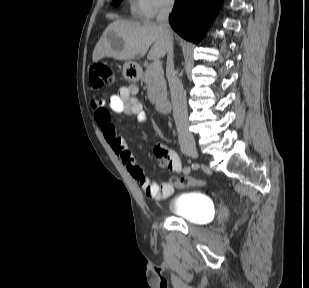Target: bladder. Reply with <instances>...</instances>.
I'll return each mask as SVG.
<instances>
[{
    "mask_svg": "<svg viewBox=\"0 0 309 288\" xmlns=\"http://www.w3.org/2000/svg\"><path fill=\"white\" fill-rule=\"evenodd\" d=\"M167 210L171 215L196 225L207 223L213 213L210 198L197 191L184 192L172 198L167 204Z\"/></svg>",
    "mask_w": 309,
    "mask_h": 288,
    "instance_id": "1",
    "label": "bladder"
}]
</instances>
